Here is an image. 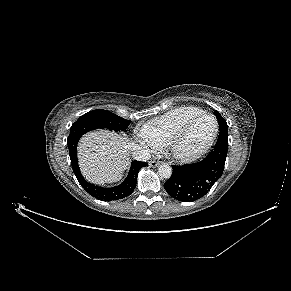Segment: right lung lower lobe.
I'll list each match as a JSON object with an SVG mask.
<instances>
[{
  "label": "right lung lower lobe",
  "instance_id": "98d812e1",
  "mask_svg": "<svg viewBox=\"0 0 291 291\" xmlns=\"http://www.w3.org/2000/svg\"><path fill=\"white\" fill-rule=\"evenodd\" d=\"M95 129H97V127L91 124H73L71 126L70 134L67 139V145L69 148L72 169L81 186L91 196L103 201H111L125 198L134 191L136 187L138 172L142 167L147 166L148 163L134 160L131 164L130 171L126 179L120 185L115 187L104 188L87 182L82 176L78 166L77 144L83 134Z\"/></svg>",
  "mask_w": 291,
  "mask_h": 291
}]
</instances>
